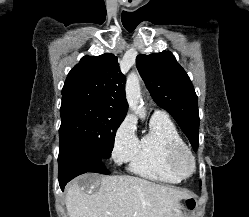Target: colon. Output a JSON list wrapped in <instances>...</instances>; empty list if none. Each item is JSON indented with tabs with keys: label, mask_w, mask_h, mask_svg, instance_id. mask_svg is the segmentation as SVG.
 <instances>
[{
	"label": "colon",
	"mask_w": 249,
	"mask_h": 217,
	"mask_svg": "<svg viewBox=\"0 0 249 217\" xmlns=\"http://www.w3.org/2000/svg\"><path fill=\"white\" fill-rule=\"evenodd\" d=\"M186 204L189 208H194L195 207V200L194 199H187Z\"/></svg>",
	"instance_id": "obj_1"
}]
</instances>
